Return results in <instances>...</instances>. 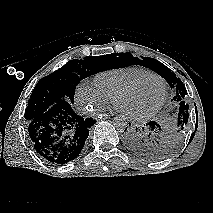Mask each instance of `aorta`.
<instances>
[{"label":"aorta","mask_w":213,"mask_h":213,"mask_svg":"<svg viewBox=\"0 0 213 213\" xmlns=\"http://www.w3.org/2000/svg\"><path fill=\"white\" fill-rule=\"evenodd\" d=\"M113 125L118 131L124 132L128 126V123L124 116L118 115L113 118Z\"/></svg>","instance_id":"762f6f07"}]
</instances>
